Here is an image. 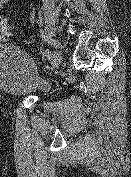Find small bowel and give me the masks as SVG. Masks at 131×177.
I'll return each mask as SVG.
<instances>
[{
  "instance_id": "small-bowel-1",
  "label": "small bowel",
  "mask_w": 131,
  "mask_h": 177,
  "mask_svg": "<svg viewBox=\"0 0 131 177\" xmlns=\"http://www.w3.org/2000/svg\"><path fill=\"white\" fill-rule=\"evenodd\" d=\"M9 0H0V10L8 3Z\"/></svg>"
}]
</instances>
